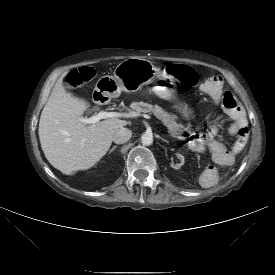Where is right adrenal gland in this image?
<instances>
[{
    "label": "right adrenal gland",
    "instance_id": "1",
    "mask_svg": "<svg viewBox=\"0 0 275 275\" xmlns=\"http://www.w3.org/2000/svg\"><path fill=\"white\" fill-rule=\"evenodd\" d=\"M118 146H113L112 148H111V150L109 151V153H112L116 148H117Z\"/></svg>",
    "mask_w": 275,
    "mask_h": 275
}]
</instances>
